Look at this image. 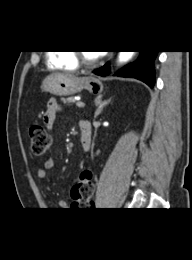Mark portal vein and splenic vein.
Listing matches in <instances>:
<instances>
[{"label": "portal vein and splenic vein", "instance_id": "obj_1", "mask_svg": "<svg viewBox=\"0 0 192 260\" xmlns=\"http://www.w3.org/2000/svg\"><path fill=\"white\" fill-rule=\"evenodd\" d=\"M76 106L79 107V108H83L85 106V104L81 101H77Z\"/></svg>", "mask_w": 192, "mask_h": 260}]
</instances>
